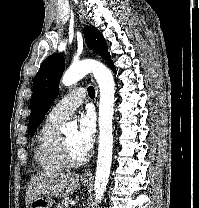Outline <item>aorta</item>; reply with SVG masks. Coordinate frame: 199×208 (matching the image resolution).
<instances>
[{"mask_svg":"<svg viewBox=\"0 0 199 208\" xmlns=\"http://www.w3.org/2000/svg\"><path fill=\"white\" fill-rule=\"evenodd\" d=\"M92 73L99 85L100 103H99V145L98 159L95 173V200L99 203L106 191L109 180L112 151L113 134L112 120L114 107L115 84L111 71L102 63L96 60H83L72 64L62 76V83L65 86H71L82 79L86 74ZM73 128V125L67 123L62 127L63 132Z\"/></svg>","mask_w":199,"mask_h":208,"instance_id":"aorta-1","label":"aorta"}]
</instances>
